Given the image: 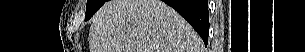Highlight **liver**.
Listing matches in <instances>:
<instances>
[{
    "label": "liver",
    "instance_id": "6515ba94",
    "mask_svg": "<svg viewBox=\"0 0 305 52\" xmlns=\"http://www.w3.org/2000/svg\"><path fill=\"white\" fill-rule=\"evenodd\" d=\"M90 52H203L194 29L160 0H111L94 15Z\"/></svg>",
    "mask_w": 305,
    "mask_h": 52
}]
</instances>
